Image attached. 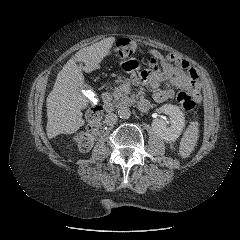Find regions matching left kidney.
I'll use <instances>...</instances> for the list:
<instances>
[{
    "instance_id": "obj_1",
    "label": "left kidney",
    "mask_w": 240,
    "mask_h": 240,
    "mask_svg": "<svg viewBox=\"0 0 240 240\" xmlns=\"http://www.w3.org/2000/svg\"><path fill=\"white\" fill-rule=\"evenodd\" d=\"M159 111L169 116L170 124L159 118L154 119L151 124L154 133L162 140L175 141L182 133L185 125L183 112L172 104L162 105Z\"/></svg>"
}]
</instances>
